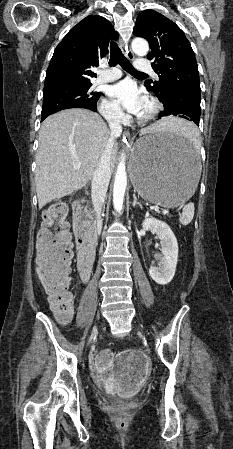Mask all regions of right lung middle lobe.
Segmentation results:
<instances>
[{
	"label": "right lung middle lobe",
	"mask_w": 233,
	"mask_h": 449,
	"mask_svg": "<svg viewBox=\"0 0 233 449\" xmlns=\"http://www.w3.org/2000/svg\"><path fill=\"white\" fill-rule=\"evenodd\" d=\"M92 84L65 86L43 94L42 117L68 108L95 110L100 93L91 91Z\"/></svg>",
	"instance_id": "dd1d6c3e"
}]
</instances>
